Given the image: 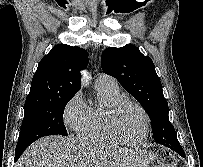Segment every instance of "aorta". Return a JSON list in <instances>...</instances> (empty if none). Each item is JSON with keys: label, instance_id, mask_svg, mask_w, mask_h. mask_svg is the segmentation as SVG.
Returning a JSON list of instances; mask_svg holds the SVG:
<instances>
[{"label": "aorta", "instance_id": "1", "mask_svg": "<svg viewBox=\"0 0 203 167\" xmlns=\"http://www.w3.org/2000/svg\"><path fill=\"white\" fill-rule=\"evenodd\" d=\"M83 86H87V79L85 75L83 76Z\"/></svg>", "mask_w": 203, "mask_h": 167}]
</instances>
